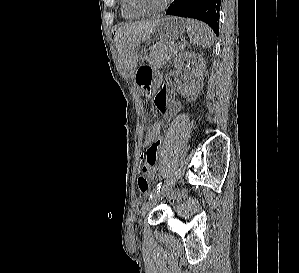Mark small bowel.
I'll return each mask as SVG.
<instances>
[{
	"mask_svg": "<svg viewBox=\"0 0 299 273\" xmlns=\"http://www.w3.org/2000/svg\"><path fill=\"white\" fill-rule=\"evenodd\" d=\"M156 109L159 113L166 116H173L179 110V105L174 102L166 93L159 92L154 100ZM160 138L153 143H146L145 161L142 166V172L150 179H154L157 173V161L160 147Z\"/></svg>",
	"mask_w": 299,
	"mask_h": 273,
	"instance_id": "small-bowel-1",
	"label": "small bowel"
}]
</instances>
